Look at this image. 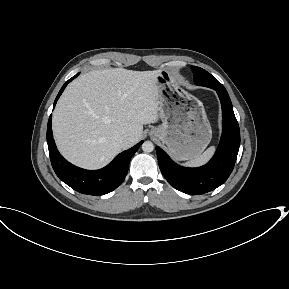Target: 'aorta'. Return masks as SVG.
I'll return each instance as SVG.
<instances>
[{"label":"aorta","instance_id":"obj_1","mask_svg":"<svg viewBox=\"0 0 289 289\" xmlns=\"http://www.w3.org/2000/svg\"><path fill=\"white\" fill-rule=\"evenodd\" d=\"M142 150L146 153L152 152L154 150V145L151 141H145L142 144Z\"/></svg>","mask_w":289,"mask_h":289}]
</instances>
